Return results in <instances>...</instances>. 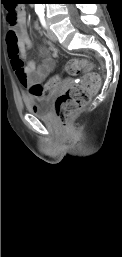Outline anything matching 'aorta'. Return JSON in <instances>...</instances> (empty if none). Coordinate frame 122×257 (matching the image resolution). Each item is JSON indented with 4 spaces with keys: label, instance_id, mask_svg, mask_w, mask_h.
I'll return each instance as SVG.
<instances>
[{
    "label": "aorta",
    "instance_id": "obj_1",
    "mask_svg": "<svg viewBox=\"0 0 122 257\" xmlns=\"http://www.w3.org/2000/svg\"><path fill=\"white\" fill-rule=\"evenodd\" d=\"M45 4H35L36 13H44Z\"/></svg>",
    "mask_w": 122,
    "mask_h": 257
}]
</instances>
